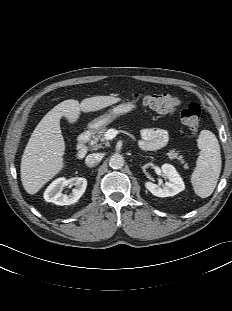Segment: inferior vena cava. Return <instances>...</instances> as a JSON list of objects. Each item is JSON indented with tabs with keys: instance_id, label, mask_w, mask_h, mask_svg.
Returning a JSON list of instances; mask_svg holds the SVG:
<instances>
[{
	"instance_id": "602c4592",
	"label": "inferior vena cava",
	"mask_w": 232,
	"mask_h": 311,
	"mask_svg": "<svg viewBox=\"0 0 232 311\" xmlns=\"http://www.w3.org/2000/svg\"><path fill=\"white\" fill-rule=\"evenodd\" d=\"M102 159V156L97 153L89 154L85 159V164L88 167L96 166Z\"/></svg>"
}]
</instances>
